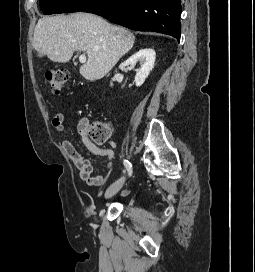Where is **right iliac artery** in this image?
Wrapping results in <instances>:
<instances>
[{
    "label": "right iliac artery",
    "mask_w": 255,
    "mask_h": 272,
    "mask_svg": "<svg viewBox=\"0 0 255 272\" xmlns=\"http://www.w3.org/2000/svg\"><path fill=\"white\" fill-rule=\"evenodd\" d=\"M123 164H124L125 168L128 171V175L131 176V174H132V165H131V163L128 160L125 159L123 161Z\"/></svg>",
    "instance_id": "obj_1"
}]
</instances>
